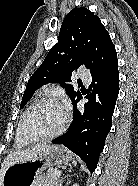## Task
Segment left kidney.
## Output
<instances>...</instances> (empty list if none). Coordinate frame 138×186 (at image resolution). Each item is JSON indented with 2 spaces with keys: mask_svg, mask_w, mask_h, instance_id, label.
Wrapping results in <instances>:
<instances>
[{
  "mask_svg": "<svg viewBox=\"0 0 138 186\" xmlns=\"http://www.w3.org/2000/svg\"><path fill=\"white\" fill-rule=\"evenodd\" d=\"M74 186H79L78 184H74Z\"/></svg>",
  "mask_w": 138,
  "mask_h": 186,
  "instance_id": "left-kidney-1",
  "label": "left kidney"
}]
</instances>
